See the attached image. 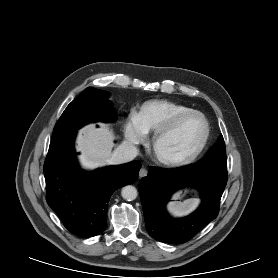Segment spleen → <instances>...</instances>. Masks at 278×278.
Instances as JSON below:
<instances>
[{
  "label": "spleen",
  "instance_id": "obj_1",
  "mask_svg": "<svg viewBox=\"0 0 278 278\" xmlns=\"http://www.w3.org/2000/svg\"><path fill=\"white\" fill-rule=\"evenodd\" d=\"M198 202L197 199H187L183 202L174 201L170 202L167 208L174 216H185L196 209Z\"/></svg>",
  "mask_w": 278,
  "mask_h": 278
}]
</instances>
